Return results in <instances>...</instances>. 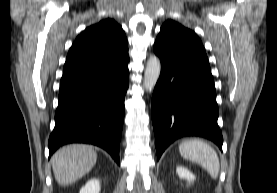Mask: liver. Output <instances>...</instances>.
Returning a JSON list of instances; mask_svg holds the SVG:
<instances>
[{
    "label": "liver",
    "instance_id": "1",
    "mask_svg": "<svg viewBox=\"0 0 277 193\" xmlns=\"http://www.w3.org/2000/svg\"><path fill=\"white\" fill-rule=\"evenodd\" d=\"M97 153L92 146L71 144L52 157V169L59 185H69L87 174L96 164Z\"/></svg>",
    "mask_w": 277,
    "mask_h": 193
}]
</instances>
